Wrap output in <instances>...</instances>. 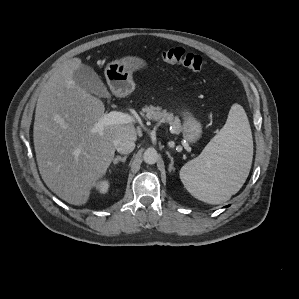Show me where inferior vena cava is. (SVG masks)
<instances>
[{"instance_id": "inferior-vena-cava-1", "label": "inferior vena cava", "mask_w": 299, "mask_h": 299, "mask_svg": "<svg viewBox=\"0 0 299 299\" xmlns=\"http://www.w3.org/2000/svg\"><path fill=\"white\" fill-rule=\"evenodd\" d=\"M134 148H135L134 141L126 140V139L120 141L116 146V150L120 154H129L134 150Z\"/></svg>"}]
</instances>
